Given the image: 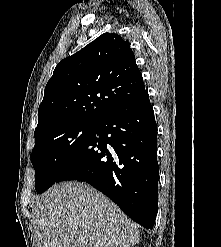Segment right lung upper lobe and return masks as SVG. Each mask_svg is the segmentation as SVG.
I'll return each instance as SVG.
<instances>
[{
    "mask_svg": "<svg viewBox=\"0 0 221 247\" xmlns=\"http://www.w3.org/2000/svg\"><path fill=\"white\" fill-rule=\"evenodd\" d=\"M144 90L128 40L104 33L56 66L38 109L34 136L69 122L98 123Z\"/></svg>",
    "mask_w": 221,
    "mask_h": 247,
    "instance_id": "cb5924a9",
    "label": "right lung upper lobe"
}]
</instances>
